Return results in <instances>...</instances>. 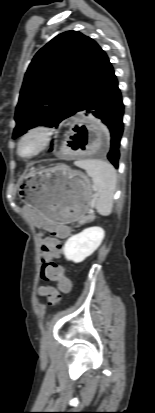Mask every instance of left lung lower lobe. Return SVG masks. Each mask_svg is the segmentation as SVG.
<instances>
[{
    "mask_svg": "<svg viewBox=\"0 0 155 413\" xmlns=\"http://www.w3.org/2000/svg\"><path fill=\"white\" fill-rule=\"evenodd\" d=\"M79 111L94 115L104 123L111 135L109 161L118 168L119 146L123 132L124 105L113 67L107 58L91 89L84 97ZM82 133V132H80Z\"/></svg>",
    "mask_w": 155,
    "mask_h": 413,
    "instance_id": "1",
    "label": "left lung lower lobe"
}]
</instances>
